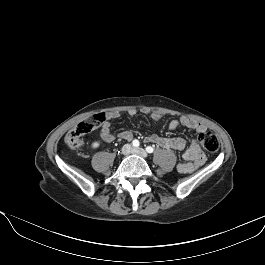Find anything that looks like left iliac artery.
Segmentation results:
<instances>
[{"label": "left iliac artery", "mask_w": 265, "mask_h": 265, "mask_svg": "<svg viewBox=\"0 0 265 265\" xmlns=\"http://www.w3.org/2000/svg\"><path fill=\"white\" fill-rule=\"evenodd\" d=\"M146 151H147L148 153H153L154 149H153V147L148 146V147H146Z\"/></svg>", "instance_id": "left-iliac-artery-1"}]
</instances>
